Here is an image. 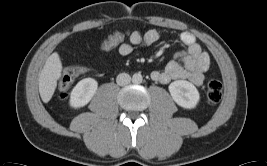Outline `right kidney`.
I'll list each match as a JSON object with an SVG mask.
<instances>
[{
	"instance_id": "right-kidney-1",
	"label": "right kidney",
	"mask_w": 267,
	"mask_h": 166,
	"mask_svg": "<svg viewBox=\"0 0 267 166\" xmlns=\"http://www.w3.org/2000/svg\"><path fill=\"white\" fill-rule=\"evenodd\" d=\"M98 88V83L93 78H85L77 83L73 88L70 95V105L73 108H80L88 104L92 99L96 90Z\"/></svg>"
}]
</instances>
